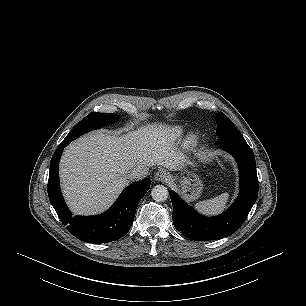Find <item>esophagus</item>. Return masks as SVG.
I'll list each match as a JSON object with an SVG mask.
<instances>
[{"label": "esophagus", "instance_id": "1", "mask_svg": "<svg viewBox=\"0 0 306 306\" xmlns=\"http://www.w3.org/2000/svg\"><path fill=\"white\" fill-rule=\"evenodd\" d=\"M155 180L158 182H168L170 180V175L166 170L159 169L155 174Z\"/></svg>", "mask_w": 306, "mask_h": 306}]
</instances>
